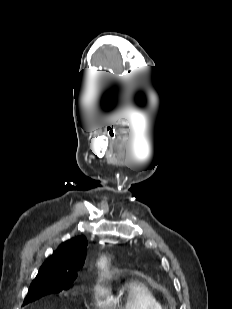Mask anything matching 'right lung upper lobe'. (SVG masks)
I'll list each match as a JSON object with an SVG mask.
<instances>
[{"instance_id": "cb5924a9", "label": "right lung upper lobe", "mask_w": 232, "mask_h": 309, "mask_svg": "<svg viewBox=\"0 0 232 309\" xmlns=\"http://www.w3.org/2000/svg\"><path fill=\"white\" fill-rule=\"evenodd\" d=\"M87 240L78 236L62 243L60 247L48 257L40 268L36 279L74 281L77 270L84 264Z\"/></svg>"}]
</instances>
